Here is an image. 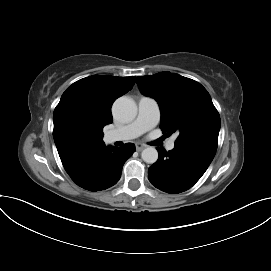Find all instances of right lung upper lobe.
<instances>
[{
  "mask_svg": "<svg viewBox=\"0 0 271 271\" xmlns=\"http://www.w3.org/2000/svg\"><path fill=\"white\" fill-rule=\"evenodd\" d=\"M135 78L93 75L63 93L53 114V137L68 174L106 147L103 127L113 121L112 104L132 89Z\"/></svg>",
  "mask_w": 271,
  "mask_h": 271,
  "instance_id": "1",
  "label": "right lung upper lobe"
}]
</instances>
